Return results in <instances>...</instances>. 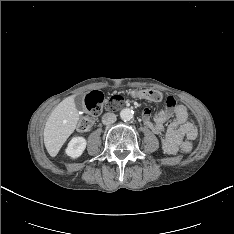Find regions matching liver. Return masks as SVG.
Listing matches in <instances>:
<instances>
[{
    "mask_svg": "<svg viewBox=\"0 0 234 234\" xmlns=\"http://www.w3.org/2000/svg\"><path fill=\"white\" fill-rule=\"evenodd\" d=\"M74 97L71 95L61 101L46 121L43 133L44 144L52 157L57 155L77 126L79 114Z\"/></svg>",
    "mask_w": 234,
    "mask_h": 234,
    "instance_id": "1",
    "label": "liver"
}]
</instances>
